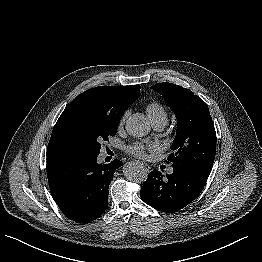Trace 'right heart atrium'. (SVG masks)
I'll return each mask as SVG.
<instances>
[{
  "instance_id": "obj_1",
  "label": "right heart atrium",
  "mask_w": 262,
  "mask_h": 262,
  "mask_svg": "<svg viewBox=\"0 0 262 262\" xmlns=\"http://www.w3.org/2000/svg\"><path fill=\"white\" fill-rule=\"evenodd\" d=\"M129 115H130V110H126V111L123 113V115H122V117H121V119H120V126H122V125L125 124V122L127 121Z\"/></svg>"
}]
</instances>
